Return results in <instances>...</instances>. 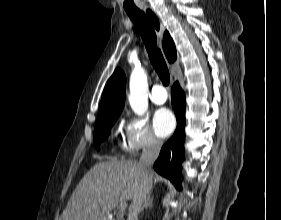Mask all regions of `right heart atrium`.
<instances>
[{
	"label": "right heart atrium",
	"instance_id": "right-heart-atrium-1",
	"mask_svg": "<svg viewBox=\"0 0 281 220\" xmlns=\"http://www.w3.org/2000/svg\"><path fill=\"white\" fill-rule=\"evenodd\" d=\"M124 135L125 147L133 153L157 149L161 146V141L153 133L148 122L140 117H128L124 127Z\"/></svg>",
	"mask_w": 281,
	"mask_h": 220
}]
</instances>
